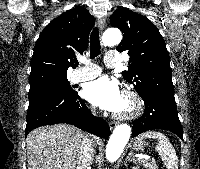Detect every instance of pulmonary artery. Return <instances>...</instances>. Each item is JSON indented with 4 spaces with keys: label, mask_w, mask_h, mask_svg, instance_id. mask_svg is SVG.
I'll return each mask as SVG.
<instances>
[{
    "label": "pulmonary artery",
    "mask_w": 200,
    "mask_h": 169,
    "mask_svg": "<svg viewBox=\"0 0 200 169\" xmlns=\"http://www.w3.org/2000/svg\"><path fill=\"white\" fill-rule=\"evenodd\" d=\"M120 62L119 54L116 52H109L107 54V58L105 59V65L107 67H114L117 66ZM101 74V68L92 65L90 70L86 69L85 67L79 68L72 76L71 81L74 83L84 82L91 80Z\"/></svg>",
    "instance_id": "obj_1"
}]
</instances>
